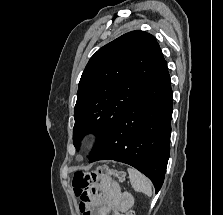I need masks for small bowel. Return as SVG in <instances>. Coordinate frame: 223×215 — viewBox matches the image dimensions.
Segmentation results:
<instances>
[{
    "label": "small bowel",
    "instance_id": "small-bowel-1",
    "mask_svg": "<svg viewBox=\"0 0 223 215\" xmlns=\"http://www.w3.org/2000/svg\"><path fill=\"white\" fill-rule=\"evenodd\" d=\"M133 206V197L123 193L110 177L92 184L81 198L83 215H127Z\"/></svg>",
    "mask_w": 223,
    "mask_h": 215
}]
</instances>
